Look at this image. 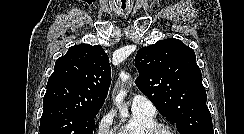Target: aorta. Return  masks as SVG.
<instances>
[{"label": "aorta", "instance_id": "762f6f07", "mask_svg": "<svg viewBox=\"0 0 244 134\" xmlns=\"http://www.w3.org/2000/svg\"><path fill=\"white\" fill-rule=\"evenodd\" d=\"M120 79L123 83H127L130 80V75L124 72L120 73ZM127 94V90L123 87L117 92L113 97L115 105L118 107L121 118H126L128 116V109L123 105L124 98Z\"/></svg>", "mask_w": 244, "mask_h": 134}]
</instances>
